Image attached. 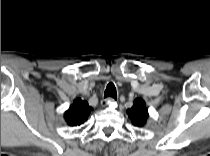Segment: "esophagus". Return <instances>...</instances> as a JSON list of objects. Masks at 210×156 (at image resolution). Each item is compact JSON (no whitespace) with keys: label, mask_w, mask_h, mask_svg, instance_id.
<instances>
[{"label":"esophagus","mask_w":210,"mask_h":156,"mask_svg":"<svg viewBox=\"0 0 210 156\" xmlns=\"http://www.w3.org/2000/svg\"><path fill=\"white\" fill-rule=\"evenodd\" d=\"M114 102H115V100H114L113 98L108 97V98H106V99H104V100L101 101V105H102L103 107H106V106H108L109 104H112V103H114Z\"/></svg>","instance_id":"esophagus-1"}]
</instances>
